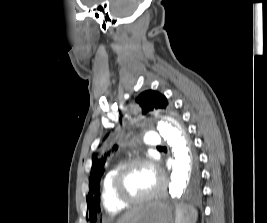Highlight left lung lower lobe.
Here are the masks:
<instances>
[{
	"mask_svg": "<svg viewBox=\"0 0 267 223\" xmlns=\"http://www.w3.org/2000/svg\"><path fill=\"white\" fill-rule=\"evenodd\" d=\"M190 175L193 176L194 179L198 178L201 175L200 171H191Z\"/></svg>",
	"mask_w": 267,
	"mask_h": 223,
	"instance_id": "1",
	"label": "left lung lower lobe"
}]
</instances>
